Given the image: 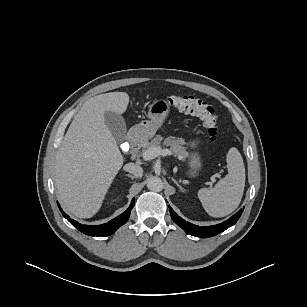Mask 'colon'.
<instances>
[{
	"mask_svg": "<svg viewBox=\"0 0 307 307\" xmlns=\"http://www.w3.org/2000/svg\"><path fill=\"white\" fill-rule=\"evenodd\" d=\"M169 102L181 112L196 116L207 129L209 139H218L217 114L206 102L191 96H171Z\"/></svg>",
	"mask_w": 307,
	"mask_h": 307,
	"instance_id": "1",
	"label": "colon"
}]
</instances>
